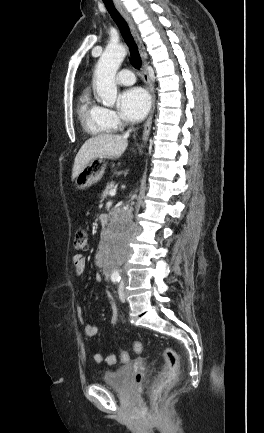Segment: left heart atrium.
Listing matches in <instances>:
<instances>
[{"instance_id":"1","label":"left heart atrium","mask_w":264,"mask_h":433,"mask_svg":"<svg viewBox=\"0 0 264 433\" xmlns=\"http://www.w3.org/2000/svg\"><path fill=\"white\" fill-rule=\"evenodd\" d=\"M118 107L121 116L131 122L142 120L150 107V99L145 90L130 88L118 97Z\"/></svg>"}]
</instances>
